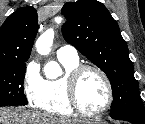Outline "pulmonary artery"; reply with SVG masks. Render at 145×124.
<instances>
[{
	"mask_svg": "<svg viewBox=\"0 0 145 124\" xmlns=\"http://www.w3.org/2000/svg\"><path fill=\"white\" fill-rule=\"evenodd\" d=\"M57 57L59 59H69V60H77L78 59V53L77 50L70 45H65L60 47L57 50Z\"/></svg>",
	"mask_w": 145,
	"mask_h": 124,
	"instance_id": "obj_1",
	"label": "pulmonary artery"
}]
</instances>
